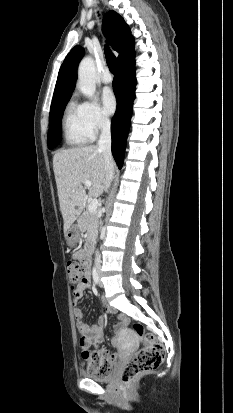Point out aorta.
<instances>
[{
	"label": "aorta",
	"instance_id": "762f6f07",
	"mask_svg": "<svg viewBox=\"0 0 233 413\" xmlns=\"http://www.w3.org/2000/svg\"><path fill=\"white\" fill-rule=\"evenodd\" d=\"M77 86L85 96L93 98L96 91L95 62L89 56L79 64Z\"/></svg>",
	"mask_w": 233,
	"mask_h": 413
}]
</instances>
